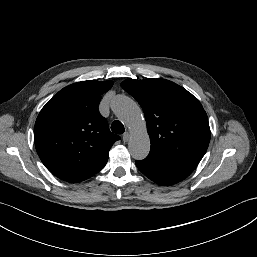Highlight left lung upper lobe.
<instances>
[{"label": "left lung upper lobe", "instance_id": "left-lung-upper-lobe-1", "mask_svg": "<svg viewBox=\"0 0 257 257\" xmlns=\"http://www.w3.org/2000/svg\"><path fill=\"white\" fill-rule=\"evenodd\" d=\"M141 105L150 136L147 158L200 161L210 142V127L201 103L183 87L165 79H128L121 83Z\"/></svg>", "mask_w": 257, "mask_h": 257}]
</instances>
